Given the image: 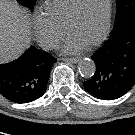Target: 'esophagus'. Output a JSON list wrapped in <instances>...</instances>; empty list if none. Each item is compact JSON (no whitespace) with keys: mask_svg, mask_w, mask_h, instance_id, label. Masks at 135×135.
Masks as SVG:
<instances>
[{"mask_svg":"<svg viewBox=\"0 0 135 135\" xmlns=\"http://www.w3.org/2000/svg\"><path fill=\"white\" fill-rule=\"evenodd\" d=\"M62 60L68 63H73V64H76L79 61L78 58H63Z\"/></svg>","mask_w":135,"mask_h":135,"instance_id":"34e87169","label":"esophagus"}]
</instances>
